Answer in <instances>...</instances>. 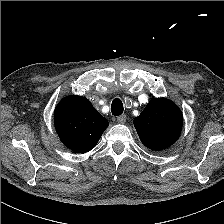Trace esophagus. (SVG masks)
Masks as SVG:
<instances>
[{"mask_svg": "<svg viewBox=\"0 0 224 224\" xmlns=\"http://www.w3.org/2000/svg\"><path fill=\"white\" fill-rule=\"evenodd\" d=\"M126 119H127L126 115H121L117 117V122L120 124H124L126 122Z\"/></svg>", "mask_w": 224, "mask_h": 224, "instance_id": "34e87169", "label": "esophagus"}]
</instances>
